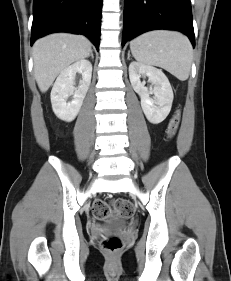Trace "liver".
Instances as JSON below:
<instances>
[{
  "label": "liver",
  "instance_id": "obj_1",
  "mask_svg": "<svg viewBox=\"0 0 231 281\" xmlns=\"http://www.w3.org/2000/svg\"><path fill=\"white\" fill-rule=\"evenodd\" d=\"M91 51L90 41L82 35L57 33L37 40L33 46V61L39 89L46 92L61 71L87 58Z\"/></svg>",
  "mask_w": 231,
  "mask_h": 281
}]
</instances>
